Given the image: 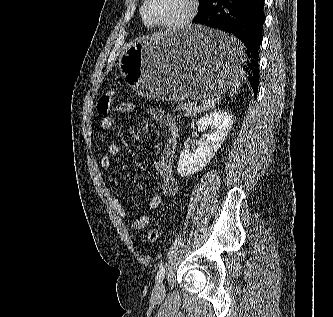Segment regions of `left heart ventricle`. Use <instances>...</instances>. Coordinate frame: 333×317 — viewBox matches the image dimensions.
<instances>
[{
    "label": "left heart ventricle",
    "instance_id": "b2bd125f",
    "mask_svg": "<svg viewBox=\"0 0 333 317\" xmlns=\"http://www.w3.org/2000/svg\"><path fill=\"white\" fill-rule=\"evenodd\" d=\"M185 10L184 0H150L147 13L153 20L170 22L180 18Z\"/></svg>",
    "mask_w": 333,
    "mask_h": 317
}]
</instances>
